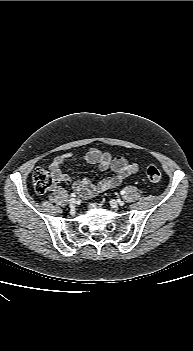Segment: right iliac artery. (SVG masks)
Instances as JSON below:
<instances>
[{"label": "right iliac artery", "mask_w": 193, "mask_h": 351, "mask_svg": "<svg viewBox=\"0 0 193 351\" xmlns=\"http://www.w3.org/2000/svg\"><path fill=\"white\" fill-rule=\"evenodd\" d=\"M70 197L74 198V197H76V194L75 193H71Z\"/></svg>", "instance_id": "1"}]
</instances>
